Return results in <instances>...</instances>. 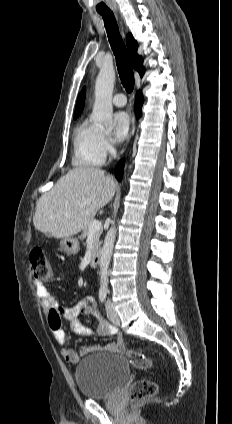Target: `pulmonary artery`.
<instances>
[{
  "label": "pulmonary artery",
  "instance_id": "pulmonary-artery-1",
  "mask_svg": "<svg viewBox=\"0 0 232 424\" xmlns=\"http://www.w3.org/2000/svg\"><path fill=\"white\" fill-rule=\"evenodd\" d=\"M112 102L117 107H124L127 104V98L123 93H118L113 97Z\"/></svg>",
  "mask_w": 232,
  "mask_h": 424
}]
</instances>
